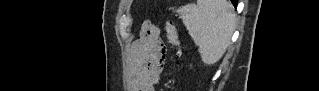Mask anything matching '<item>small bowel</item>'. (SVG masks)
Segmentation results:
<instances>
[{
    "label": "small bowel",
    "mask_w": 319,
    "mask_h": 91,
    "mask_svg": "<svg viewBox=\"0 0 319 91\" xmlns=\"http://www.w3.org/2000/svg\"><path fill=\"white\" fill-rule=\"evenodd\" d=\"M133 74L130 80L135 91H153L166 64L167 49L158 28L146 23L142 37L131 46ZM152 56L150 64L146 58Z\"/></svg>",
    "instance_id": "obj_1"
}]
</instances>
